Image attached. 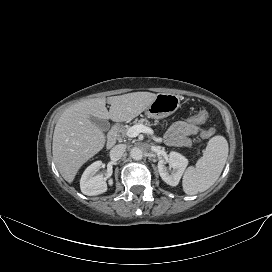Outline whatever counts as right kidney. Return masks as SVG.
I'll return each mask as SVG.
<instances>
[{"label": "right kidney", "instance_id": "1", "mask_svg": "<svg viewBox=\"0 0 272 272\" xmlns=\"http://www.w3.org/2000/svg\"><path fill=\"white\" fill-rule=\"evenodd\" d=\"M102 166L101 161H96L86 168L80 180L81 192L88 196L99 195L107 191V183L103 175L96 174ZM108 184L113 185L109 179Z\"/></svg>", "mask_w": 272, "mask_h": 272}]
</instances>
